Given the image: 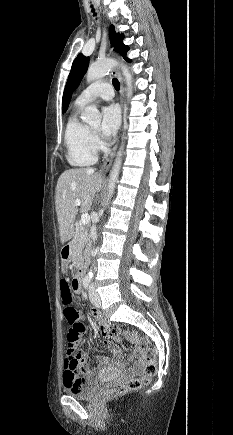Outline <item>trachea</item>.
<instances>
[{
  "mask_svg": "<svg viewBox=\"0 0 233 435\" xmlns=\"http://www.w3.org/2000/svg\"><path fill=\"white\" fill-rule=\"evenodd\" d=\"M91 8H92V12L94 13V16H95L96 13H95V10H94V8H93V5H91ZM112 84H113L114 88L118 91L119 88H120V83H119V81H118L117 78H113V79H112Z\"/></svg>",
  "mask_w": 233,
  "mask_h": 435,
  "instance_id": "trachea-1",
  "label": "trachea"
}]
</instances>
